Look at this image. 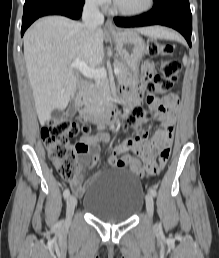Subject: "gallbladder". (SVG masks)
<instances>
[{"label":"gallbladder","instance_id":"obj_1","mask_svg":"<svg viewBox=\"0 0 219 258\" xmlns=\"http://www.w3.org/2000/svg\"><path fill=\"white\" fill-rule=\"evenodd\" d=\"M76 111H77L76 99L74 98V99L72 100V103H71V105H70V107H69V110H68L69 116H74L75 113H76Z\"/></svg>","mask_w":219,"mask_h":258}]
</instances>
